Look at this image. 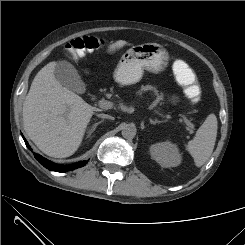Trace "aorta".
<instances>
[{
    "label": "aorta",
    "mask_w": 245,
    "mask_h": 245,
    "mask_svg": "<svg viewBox=\"0 0 245 245\" xmlns=\"http://www.w3.org/2000/svg\"><path fill=\"white\" fill-rule=\"evenodd\" d=\"M137 129L134 124H125L122 128V136L126 139H133L136 135Z\"/></svg>",
    "instance_id": "aorta-1"
}]
</instances>
